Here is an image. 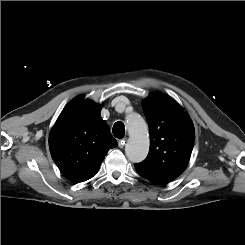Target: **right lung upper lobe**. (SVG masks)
<instances>
[{"label": "right lung upper lobe", "instance_id": "obj_1", "mask_svg": "<svg viewBox=\"0 0 245 245\" xmlns=\"http://www.w3.org/2000/svg\"><path fill=\"white\" fill-rule=\"evenodd\" d=\"M100 111L101 105L76 97L65 106L51 130L52 159L63 176L74 183L92 178L107 152L117 146Z\"/></svg>", "mask_w": 245, "mask_h": 245}]
</instances>
